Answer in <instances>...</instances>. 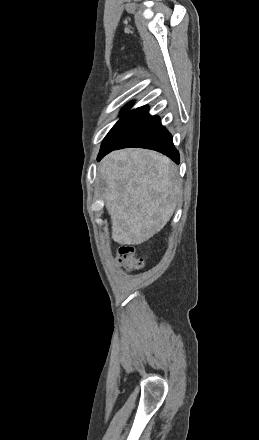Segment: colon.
Here are the masks:
<instances>
[{"label":"colon","mask_w":259,"mask_h":440,"mask_svg":"<svg viewBox=\"0 0 259 440\" xmlns=\"http://www.w3.org/2000/svg\"><path fill=\"white\" fill-rule=\"evenodd\" d=\"M117 258L118 262L129 270H137L143 266V259L135 256V250L132 246H121L118 249Z\"/></svg>","instance_id":"obj_1"}]
</instances>
